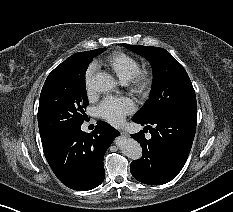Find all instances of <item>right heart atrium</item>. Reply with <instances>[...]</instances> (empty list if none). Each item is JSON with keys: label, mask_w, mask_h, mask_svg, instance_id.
I'll return each mask as SVG.
<instances>
[{"label": "right heart atrium", "mask_w": 233, "mask_h": 212, "mask_svg": "<svg viewBox=\"0 0 233 212\" xmlns=\"http://www.w3.org/2000/svg\"><path fill=\"white\" fill-rule=\"evenodd\" d=\"M94 72H95V66L91 64L87 68L84 76L85 87L89 95L92 93V80H93Z\"/></svg>", "instance_id": "1"}]
</instances>
